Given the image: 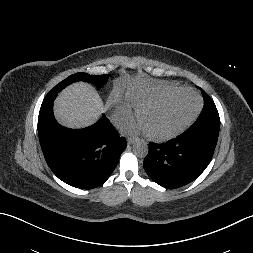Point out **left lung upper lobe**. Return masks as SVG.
<instances>
[{
    "instance_id": "left-lung-upper-lobe-1",
    "label": "left lung upper lobe",
    "mask_w": 253,
    "mask_h": 253,
    "mask_svg": "<svg viewBox=\"0 0 253 253\" xmlns=\"http://www.w3.org/2000/svg\"><path fill=\"white\" fill-rule=\"evenodd\" d=\"M201 92L204 98V107L198 119H201V118L219 119V114L213 100L209 97V95L204 90L201 89Z\"/></svg>"
}]
</instances>
